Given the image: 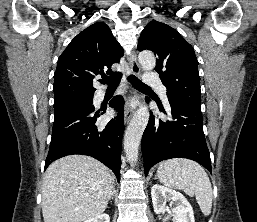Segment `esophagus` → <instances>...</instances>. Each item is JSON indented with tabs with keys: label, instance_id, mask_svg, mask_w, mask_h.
<instances>
[{
	"label": "esophagus",
	"instance_id": "1",
	"mask_svg": "<svg viewBox=\"0 0 257 222\" xmlns=\"http://www.w3.org/2000/svg\"><path fill=\"white\" fill-rule=\"evenodd\" d=\"M129 66H130V71L134 74V75H139L140 74V67L139 64L136 60V56L134 53H132L129 57ZM133 109L130 107H127L125 110V114H124V122L125 124H127L132 115H133Z\"/></svg>",
	"mask_w": 257,
	"mask_h": 222
}]
</instances>
